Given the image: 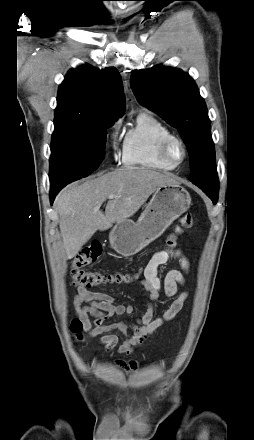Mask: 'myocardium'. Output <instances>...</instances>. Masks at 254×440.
Listing matches in <instances>:
<instances>
[{"label":"myocardium","mask_w":254,"mask_h":440,"mask_svg":"<svg viewBox=\"0 0 254 440\" xmlns=\"http://www.w3.org/2000/svg\"><path fill=\"white\" fill-rule=\"evenodd\" d=\"M173 145H178L182 151V157L179 161H176L171 155V149ZM158 155L165 163L173 167H177L186 160L187 149L184 141L180 137L174 134H169L160 141L158 147Z\"/></svg>","instance_id":"1"}]
</instances>
